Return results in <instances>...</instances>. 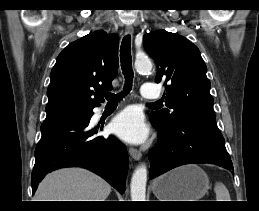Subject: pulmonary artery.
Wrapping results in <instances>:
<instances>
[{
	"label": "pulmonary artery",
	"mask_w": 259,
	"mask_h": 211,
	"mask_svg": "<svg viewBox=\"0 0 259 211\" xmlns=\"http://www.w3.org/2000/svg\"><path fill=\"white\" fill-rule=\"evenodd\" d=\"M142 97L145 99H158L161 94L155 84L144 83L141 89Z\"/></svg>",
	"instance_id": "obj_1"
}]
</instances>
